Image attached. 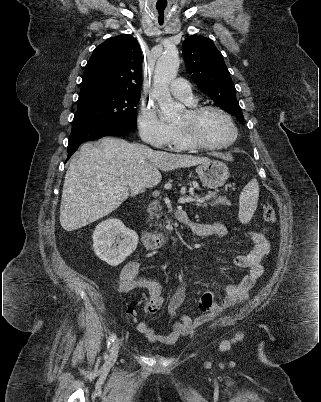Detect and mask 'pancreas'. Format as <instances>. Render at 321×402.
<instances>
[{"label": "pancreas", "mask_w": 321, "mask_h": 402, "mask_svg": "<svg viewBox=\"0 0 321 402\" xmlns=\"http://www.w3.org/2000/svg\"><path fill=\"white\" fill-rule=\"evenodd\" d=\"M218 204H222V205H230V201L225 198V197H219L217 199H215L212 203L211 206H216ZM196 206L198 207H207L206 203H202L199 201H196L195 203ZM162 208L159 204V201L155 200L154 202H152L149 206V208L147 209V212L149 213L150 219H153V217L159 218L160 212H161ZM161 227V224L159 225Z\"/></svg>", "instance_id": "cf45deb5"}]
</instances>
